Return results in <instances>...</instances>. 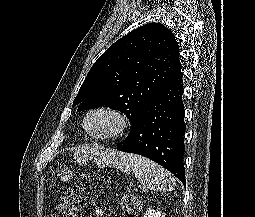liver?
<instances>
[{
    "instance_id": "obj_1",
    "label": "liver",
    "mask_w": 255,
    "mask_h": 217,
    "mask_svg": "<svg viewBox=\"0 0 255 217\" xmlns=\"http://www.w3.org/2000/svg\"><path fill=\"white\" fill-rule=\"evenodd\" d=\"M117 155H119V153L113 150L103 151V149L98 146H82L75 150V157L80 160L96 157L100 159H110L115 158Z\"/></svg>"
}]
</instances>
